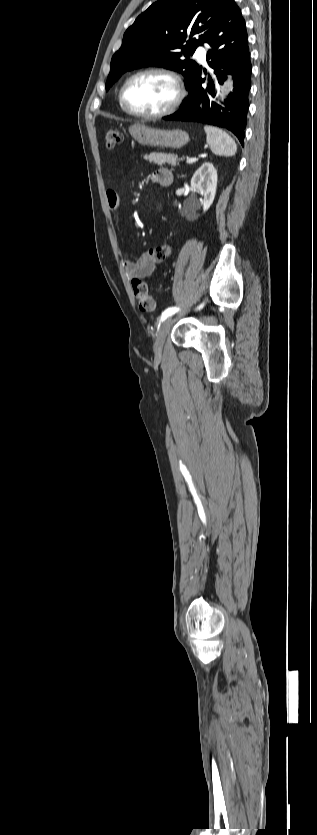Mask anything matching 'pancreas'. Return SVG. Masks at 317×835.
<instances>
[{"mask_svg":"<svg viewBox=\"0 0 317 835\" xmlns=\"http://www.w3.org/2000/svg\"><path fill=\"white\" fill-rule=\"evenodd\" d=\"M150 163L157 164L159 166L165 164H171L175 162L178 157L175 154L171 153H159V152H152L145 157Z\"/></svg>","mask_w":317,"mask_h":835,"instance_id":"1","label":"pancreas"}]
</instances>
